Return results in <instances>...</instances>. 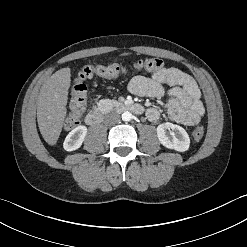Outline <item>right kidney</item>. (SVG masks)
<instances>
[{
    "label": "right kidney",
    "instance_id": "obj_1",
    "mask_svg": "<svg viewBox=\"0 0 247 247\" xmlns=\"http://www.w3.org/2000/svg\"><path fill=\"white\" fill-rule=\"evenodd\" d=\"M87 134V127L84 125L73 129L65 138L63 147L66 151H74L82 145Z\"/></svg>",
    "mask_w": 247,
    "mask_h": 247
}]
</instances>
